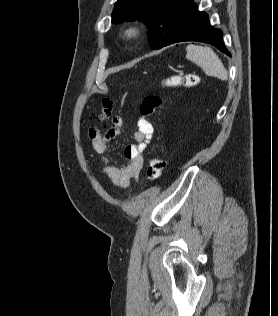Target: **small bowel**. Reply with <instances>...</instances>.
<instances>
[{"label": "small bowel", "instance_id": "obj_1", "mask_svg": "<svg viewBox=\"0 0 278 316\" xmlns=\"http://www.w3.org/2000/svg\"><path fill=\"white\" fill-rule=\"evenodd\" d=\"M122 126V118L119 115H115L112 117L111 125L106 133L102 134L92 129L89 132V136L92 141L93 151L95 154L102 156V172L116 186L127 188L131 180L137 179L142 170L144 150L152 138L154 129L152 123L146 117H139L137 129L133 135L135 143L124 148V156L128 162L119 166L113 161L108 152L109 142L119 134Z\"/></svg>", "mask_w": 278, "mask_h": 316}]
</instances>
